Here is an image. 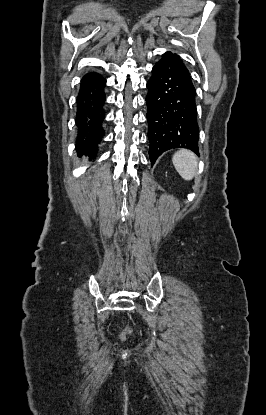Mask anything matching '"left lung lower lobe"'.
I'll return each instance as SVG.
<instances>
[{"label":"left lung lower lobe","mask_w":266,"mask_h":415,"mask_svg":"<svg viewBox=\"0 0 266 415\" xmlns=\"http://www.w3.org/2000/svg\"><path fill=\"white\" fill-rule=\"evenodd\" d=\"M147 88L151 164L163 152L174 148L198 154L196 90L187 68L165 53L152 68Z\"/></svg>","instance_id":"obj_1"}]
</instances>
